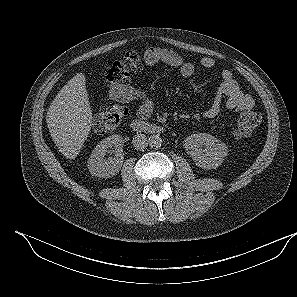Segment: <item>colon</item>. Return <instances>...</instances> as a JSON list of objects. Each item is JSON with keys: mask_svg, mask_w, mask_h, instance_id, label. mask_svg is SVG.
Returning a JSON list of instances; mask_svg holds the SVG:
<instances>
[{"mask_svg": "<svg viewBox=\"0 0 297 297\" xmlns=\"http://www.w3.org/2000/svg\"><path fill=\"white\" fill-rule=\"evenodd\" d=\"M141 66V57L135 52H129L117 61L113 62L104 76L106 86L123 83L127 77ZM126 111L121 107H109L102 109L93 120V130L97 134H103L115 130L122 122ZM262 116L255 111H248L238 118L233 135L243 138L252 134L260 125Z\"/></svg>", "mask_w": 297, "mask_h": 297, "instance_id": "5ec220e1", "label": "colon"}]
</instances>
